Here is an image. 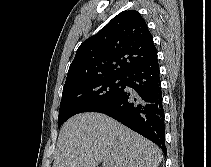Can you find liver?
<instances>
[{"instance_id": "liver-1", "label": "liver", "mask_w": 211, "mask_h": 167, "mask_svg": "<svg viewBox=\"0 0 211 167\" xmlns=\"http://www.w3.org/2000/svg\"><path fill=\"white\" fill-rule=\"evenodd\" d=\"M158 146L116 120L100 113H82L62 127L52 167H157Z\"/></svg>"}]
</instances>
